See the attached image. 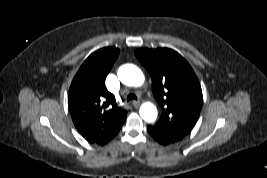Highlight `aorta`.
Returning a JSON list of instances; mask_svg holds the SVG:
<instances>
[{
    "mask_svg": "<svg viewBox=\"0 0 267 178\" xmlns=\"http://www.w3.org/2000/svg\"><path fill=\"white\" fill-rule=\"evenodd\" d=\"M117 74L120 81L127 86H141L145 80L143 72L133 64L122 65ZM139 113L146 122L155 121L158 114L157 108L150 102L142 104Z\"/></svg>",
    "mask_w": 267,
    "mask_h": 178,
    "instance_id": "obj_1",
    "label": "aorta"
}]
</instances>
